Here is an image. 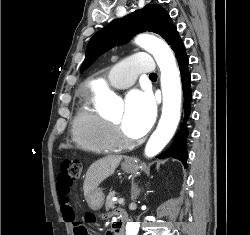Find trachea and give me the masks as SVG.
<instances>
[{
	"instance_id": "trachea-1",
	"label": "trachea",
	"mask_w": 250,
	"mask_h": 235,
	"mask_svg": "<svg viewBox=\"0 0 250 235\" xmlns=\"http://www.w3.org/2000/svg\"><path fill=\"white\" fill-rule=\"evenodd\" d=\"M149 77H157V74H156V73H151V74L149 75Z\"/></svg>"
}]
</instances>
